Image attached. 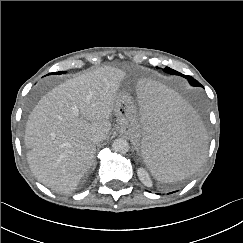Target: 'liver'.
Returning <instances> with one entry per match:
<instances>
[{
    "instance_id": "6515ba94",
    "label": "liver",
    "mask_w": 243,
    "mask_h": 243,
    "mask_svg": "<svg viewBox=\"0 0 243 243\" xmlns=\"http://www.w3.org/2000/svg\"><path fill=\"white\" fill-rule=\"evenodd\" d=\"M124 71L105 66L58 85L37 103L25 129L33 175L53 191L73 192L94 164L92 137H108ZM78 109V114L73 108Z\"/></svg>"
}]
</instances>
